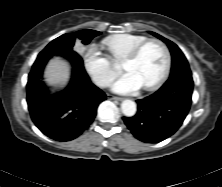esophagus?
Listing matches in <instances>:
<instances>
[{
  "instance_id": "1",
  "label": "esophagus",
  "mask_w": 222,
  "mask_h": 187,
  "mask_svg": "<svg viewBox=\"0 0 222 187\" xmlns=\"http://www.w3.org/2000/svg\"><path fill=\"white\" fill-rule=\"evenodd\" d=\"M107 98L110 99V100H115V101H121L122 100L121 97L113 96V95H110V94L107 95Z\"/></svg>"
}]
</instances>
